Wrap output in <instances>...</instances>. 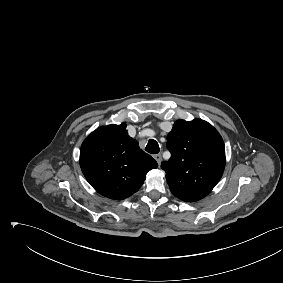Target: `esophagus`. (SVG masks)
<instances>
[{"label":"esophagus","mask_w":283,"mask_h":283,"mask_svg":"<svg viewBox=\"0 0 283 283\" xmlns=\"http://www.w3.org/2000/svg\"><path fill=\"white\" fill-rule=\"evenodd\" d=\"M155 160L157 161V163L160 165L162 162V156L161 154H156L154 155Z\"/></svg>","instance_id":"1"}]
</instances>
